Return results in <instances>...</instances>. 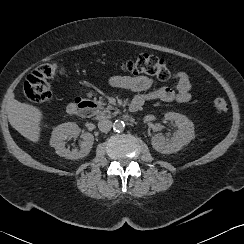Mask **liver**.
Instances as JSON below:
<instances>
[{
	"mask_svg": "<svg viewBox=\"0 0 244 244\" xmlns=\"http://www.w3.org/2000/svg\"><path fill=\"white\" fill-rule=\"evenodd\" d=\"M8 114L10 123L17 131L30 141L38 142L42 112L37 107L11 98Z\"/></svg>",
	"mask_w": 244,
	"mask_h": 244,
	"instance_id": "liver-1",
	"label": "liver"
}]
</instances>
